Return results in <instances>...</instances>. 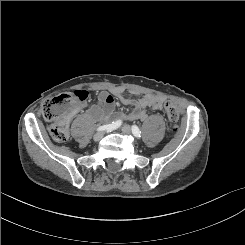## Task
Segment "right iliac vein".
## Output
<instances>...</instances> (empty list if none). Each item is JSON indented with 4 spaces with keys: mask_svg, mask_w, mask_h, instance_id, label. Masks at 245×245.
Masks as SVG:
<instances>
[{
    "mask_svg": "<svg viewBox=\"0 0 245 245\" xmlns=\"http://www.w3.org/2000/svg\"><path fill=\"white\" fill-rule=\"evenodd\" d=\"M103 136H104V132L100 131L94 135L93 139H94V141L97 142V141H100L103 138Z\"/></svg>",
    "mask_w": 245,
    "mask_h": 245,
    "instance_id": "right-iliac-vein-1",
    "label": "right iliac vein"
}]
</instances>
